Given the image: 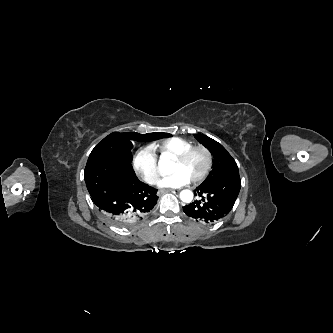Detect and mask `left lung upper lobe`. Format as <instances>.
I'll list each match as a JSON object with an SVG mask.
<instances>
[{"label": "left lung upper lobe", "instance_id": "left-lung-upper-lobe-1", "mask_svg": "<svg viewBox=\"0 0 333 333\" xmlns=\"http://www.w3.org/2000/svg\"><path fill=\"white\" fill-rule=\"evenodd\" d=\"M194 137L203 144L214 157L213 169L202 183L203 185L210 184L223 177L239 175L235 160L220 143L203 134H194Z\"/></svg>", "mask_w": 333, "mask_h": 333}]
</instances>
